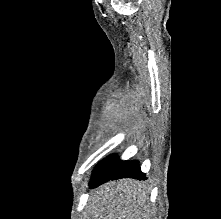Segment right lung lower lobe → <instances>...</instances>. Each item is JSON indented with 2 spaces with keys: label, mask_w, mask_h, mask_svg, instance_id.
Wrapping results in <instances>:
<instances>
[{
  "label": "right lung lower lobe",
  "mask_w": 221,
  "mask_h": 219,
  "mask_svg": "<svg viewBox=\"0 0 221 219\" xmlns=\"http://www.w3.org/2000/svg\"><path fill=\"white\" fill-rule=\"evenodd\" d=\"M136 178L138 180H146L145 175L141 172L137 161H121L116 157H108L104 159L94 170L90 182V188L107 182L111 179L119 178Z\"/></svg>",
  "instance_id": "1"
}]
</instances>
